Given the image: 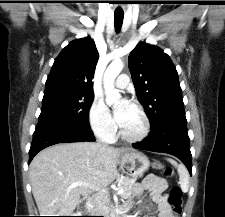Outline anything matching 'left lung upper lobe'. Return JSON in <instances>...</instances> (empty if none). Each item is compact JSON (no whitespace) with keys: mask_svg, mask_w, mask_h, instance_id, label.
Returning <instances> with one entry per match:
<instances>
[{"mask_svg":"<svg viewBox=\"0 0 225 217\" xmlns=\"http://www.w3.org/2000/svg\"><path fill=\"white\" fill-rule=\"evenodd\" d=\"M128 65L151 128L185 118L178 73L167 54L156 46L140 42L130 53Z\"/></svg>","mask_w":225,"mask_h":217,"instance_id":"left-lung-upper-lobe-1","label":"left lung upper lobe"}]
</instances>
